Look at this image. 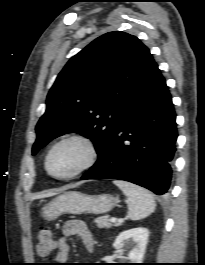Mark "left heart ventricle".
<instances>
[{"instance_id": "obj_1", "label": "left heart ventricle", "mask_w": 205, "mask_h": 265, "mask_svg": "<svg viewBox=\"0 0 205 265\" xmlns=\"http://www.w3.org/2000/svg\"><path fill=\"white\" fill-rule=\"evenodd\" d=\"M86 150L78 142L70 141L56 147L49 158V168L57 175L73 172L85 159Z\"/></svg>"}]
</instances>
